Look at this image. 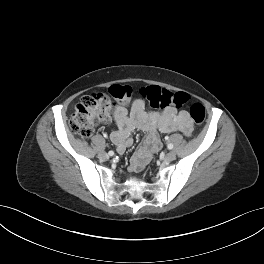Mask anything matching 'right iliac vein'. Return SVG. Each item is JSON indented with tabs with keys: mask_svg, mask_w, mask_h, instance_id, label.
<instances>
[{
	"mask_svg": "<svg viewBox=\"0 0 264 264\" xmlns=\"http://www.w3.org/2000/svg\"><path fill=\"white\" fill-rule=\"evenodd\" d=\"M99 158H101L102 160H108L109 155L106 152H101L99 153Z\"/></svg>",
	"mask_w": 264,
	"mask_h": 264,
	"instance_id": "63e3f726",
	"label": "right iliac vein"
}]
</instances>
